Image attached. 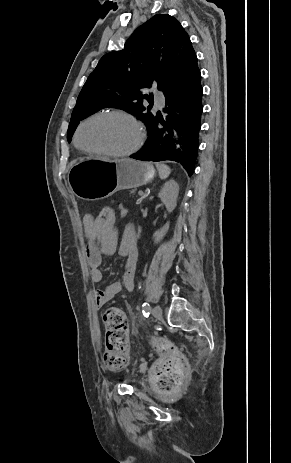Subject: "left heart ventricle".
I'll list each match as a JSON object with an SVG mask.
<instances>
[{
  "instance_id": "obj_1",
  "label": "left heart ventricle",
  "mask_w": 291,
  "mask_h": 463,
  "mask_svg": "<svg viewBox=\"0 0 291 463\" xmlns=\"http://www.w3.org/2000/svg\"><path fill=\"white\" fill-rule=\"evenodd\" d=\"M136 140V130L126 119L118 116L96 118L83 126L80 144L90 149L126 150Z\"/></svg>"
}]
</instances>
